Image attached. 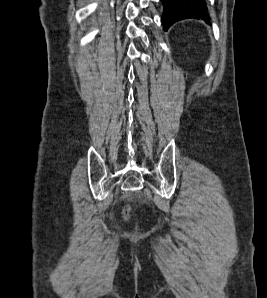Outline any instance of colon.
<instances>
[{"label": "colon", "instance_id": "obj_1", "mask_svg": "<svg viewBox=\"0 0 267 298\" xmlns=\"http://www.w3.org/2000/svg\"><path fill=\"white\" fill-rule=\"evenodd\" d=\"M123 215H124L125 218H128V210H125Z\"/></svg>", "mask_w": 267, "mask_h": 298}]
</instances>
